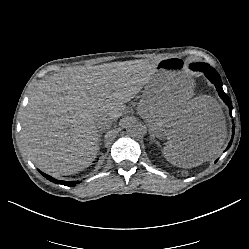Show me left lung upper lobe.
<instances>
[{
    "label": "left lung upper lobe",
    "instance_id": "obj_1",
    "mask_svg": "<svg viewBox=\"0 0 249 249\" xmlns=\"http://www.w3.org/2000/svg\"><path fill=\"white\" fill-rule=\"evenodd\" d=\"M209 64L207 63H194L190 65V68L192 70L198 71L199 69H197L198 67H203V66H208Z\"/></svg>",
    "mask_w": 249,
    "mask_h": 249
}]
</instances>
